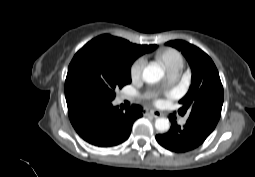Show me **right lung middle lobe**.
<instances>
[{
    "label": "right lung middle lobe",
    "instance_id": "right-lung-middle-lobe-1",
    "mask_svg": "<svg viewBox=\"0 0 255 177\" xmlns=\"http://www.w3.org/2000/svg\"><path fill=\"white\" fill-rule=\"evenodd\" d=\"M133 62L120 54L87 43L73 57L65 81V95H90L114 100L116 91L131 83Z\"/></svg>",
    "mask_w": 255,
    "mask_h": 177
}]
</instances>
